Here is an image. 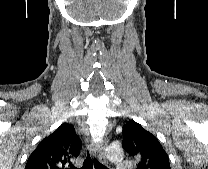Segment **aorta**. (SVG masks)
Wrapping results in <instances>:
<instances>
[{
  "mask_svg": "<svg viewBox=\"0 0 208 169\" xmlns=\"http://www.w3.org/2000/svg\"><path fill=\"white\" fill-rule=\"evenodd\" d=\"M107 156L110 161L116 162L122 160L123 151L120 147L110 146L107 148Z\"/></svg>",
  "mask_w": 208,
  "mask_h": 169,
  "instance_id": "762f6f07",
  "label": "aorta"
}]
</instances>
